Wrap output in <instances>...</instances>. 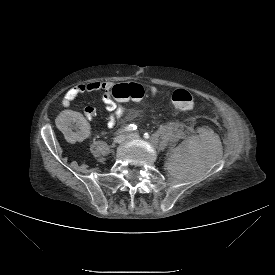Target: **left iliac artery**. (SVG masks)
Listing matches in <instances>:
<instances>
[{"label": "left iliac artery", "mask_w": 275, "mask_h": 275, "mask_svg": "<svg viewBox=\"0 0 275 275\" xmlns=\"http://www.w3.org/2000/svg\"><path fill=\"white\" fill-rule=\"evenodd\" d=\"M149 137H150V136H149L148 133H145V134H144V138H145V139H148Z\"/></svg>", "instance_id": "obj_1"}]
</instances>
